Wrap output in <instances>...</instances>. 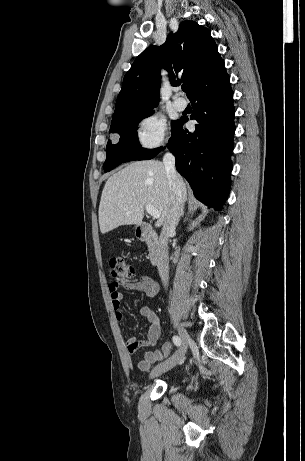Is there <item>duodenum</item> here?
I'll list each match as a JSON object with an SVG mask.
<instances>
[{"instance_id":"410a0bca","label":"duodenum","mask_w":305,"mask_h":461,"mask_svg":"<svg viewBox=\"0 0 305 461\" xmlns=\"http://www.w3.org/2000/svg\"><path fill=\"white\" fill-rule=\"evenodd\" d=\"M137 236L144 241L149 248V264L157 265L160 261L159 240L152 227L147 223H142L137 228Z\"/></svg>"}]
</instances>
